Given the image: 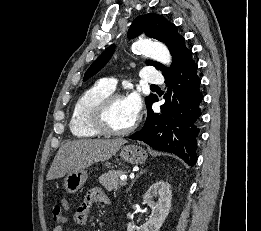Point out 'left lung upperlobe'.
Here are the masks:
<instances>
[{"mask_svg": "<svg viewBox=\"0 0 261 231\" xmlns=\"http://www.w3.org/2000/svg\"><path fill=\"white\" fill-rule=\"evenodd\" d=\"M142 33L165 43L169 48L173 60L170 68L152 60L146 61L147 65H152L161 70L163 75L175 69L188 55L192 54V51L185 46L184 38L177 32L176 26L161 15L150 13L138 16L133 21L128 36L134 38ZM113 51L114 47L110 46L93 62L85 73L84 81L103 68L112 56ZM155 98L156 96L153 94L146 97V106H149Z\"/></svg>", "mask_w": 261, "mask_h": 231, "instance_id": "left-lung-upper-lobe-1", "label": "left lung upper lobe"}]
</instances>
